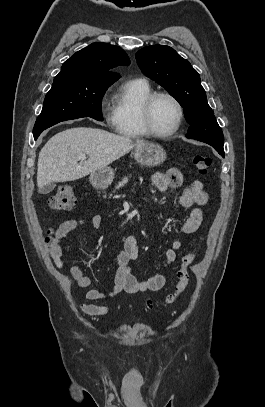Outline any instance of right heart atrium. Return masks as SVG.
Instances as JSON below:
<instances>
[{
	"mask_svg": "<svg viewBox=\"0 0 265 407\" xmlns=\"http://www.w3.org/2000/svg\"><path fill=\"white\" fill-rule=\"evenodd\" d=\"M101 104H102L103 107H106V105H107V95H106V94H104V95L102 96V98H101ZM105 117H106V120H107V121H109V122L112 123V116H110V115H105Z\"/></svg>",
	"mask_w": 265,
	"mask_h": 407,
	"instance_id": "right-heart-atrium-1",
	"label": "right heart atrium"
}]
</instances>
